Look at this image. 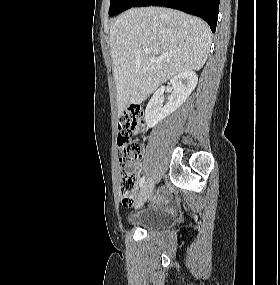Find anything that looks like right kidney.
I'll return each mask as SVG.
<instances>
[{
    "label": "right kidney",
    "mask_w": 280,
    "mask_h": 285,
    "mask_svg": "<svg viewBox=\"0 0 280 285\" xmlns=\"http://www.w3.org/2000/svg\"><path fill=\"white\" fill-rule=\"evenodd\" d=\"M198 77L193 71H184L171 78L172 93L168 103L162 107L165 88H160L153 95L145 110V121L149 128L156 126L164 118L176 111L195 89Z\"/></svg>",
    "instance_id": "ca27d5eb"
}]
</instances>
